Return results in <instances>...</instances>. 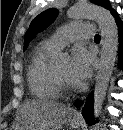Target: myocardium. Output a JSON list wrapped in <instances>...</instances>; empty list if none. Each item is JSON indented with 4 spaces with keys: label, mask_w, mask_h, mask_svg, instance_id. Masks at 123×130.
Instances as JSON below:
<instances>
[{
    "label": "myocardium",
    "mask_w": 123,
    "mask_h": 130,
    "mask_svg": "<svg viewBox=\"0 0 123 130\" xmlns=\"http://www.w3.org/2000/svg\"><path fill=\"white\" fill-rule=\"evenodd\" d=\"M54 76H55V80H56V83L60 89V91L62 92H73L76 87L67 83L57 72L56 68H54Z\"/></svg>",
    "instance_id": "1"
}]
</instances>
